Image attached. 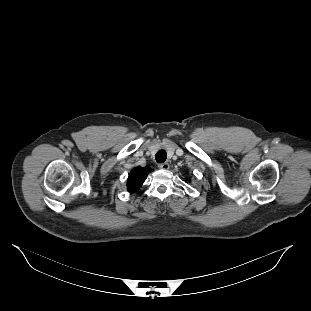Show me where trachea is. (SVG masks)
<instances>
[{"mask_svg": "<svg viewBox=\"0 0 311 311\" xmlns=\"http://www.w3.org/2000/svg\"><path fill=\"white\" fill-rule=\"evenodd\" d=\"M166 158H167V154L165 150H159L155 155V159L159 163L164 162Z\"/></svg>", "mask_w": 311, "mask_h": 311, "instance_id": "trachea-1", "label": "trachea"}]
</instances>
